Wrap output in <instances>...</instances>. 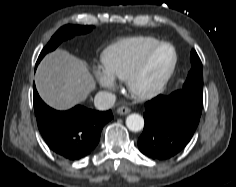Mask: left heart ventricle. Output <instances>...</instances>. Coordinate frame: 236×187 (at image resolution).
<instances>
[{
    "label": "left heart ventricle",
    "instance_id": "left-heart-ventricle-1",
    "mask_svg": "<svg viewBox=\"0 0 236 187\" xmlns=\"http://www.w3.org/2000/svg\"><path fill=\"white\" fill-rule=\"evenodd\" d=\"M172 58V50L167 46L155 52L138 82L139 87L149 88L153 86L167 70Z\"/></svg>",
    "mask_w": 236,
    "mask_h": 187
}]
</instances>
